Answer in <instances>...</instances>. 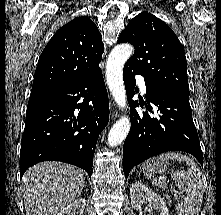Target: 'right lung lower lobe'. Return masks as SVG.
<instances>
[{"label": "right lung lower lobe", "mask_w": 221, "mask_h": 215, "mask_svg": "<svg viewBox=\"0 0 221 215\" xmlns=\"http://www.w3.org/2000/svg\"><path fill=\"white\" fill-rule=\"evenodd\" d=\"M108 120V95L99 67L60 89L31 96L21 140L20 177L30 166L48 160L76 165L91 177L97 139Z\"/></svg>", "instance_id": "obj_1"}]
</instances>
